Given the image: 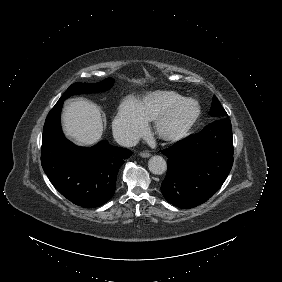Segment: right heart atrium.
Instances as JSON below:
<instances>
[{
  "instance_id": "d8ad5b80",
  "label": "right heart atrium",
  "mask_w": 282,
  "mask_h": 282,
  "mask_svg": "<svg viewBox=\"0 0 282 282\" xmlns=\"http://www.w3.org/2000/svg\"><path fill=\"white\" fill-rule=\"evenodd\" d=\"M148 127V119L139 103L127 99L119 107L117 116L113 121L115 136L124 142H133Z\"/></svg>"
}]
</instances>
